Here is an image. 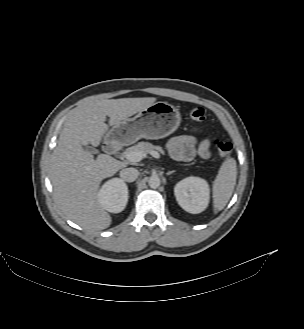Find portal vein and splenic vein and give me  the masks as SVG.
Returning <instances> with one entry per match:
<instances>
[{"mask_svg":"<svg viewBox=\"0 0 304 329\" xmlns=\"http://www.w3.org/2000/svg\"><path fill=\"white\" fill-rule=\"evenodd\" d=\"M154 158H159L160 155L157 151H150V153ZM146 155L142 151H129L124 152L123 157L130 161V162H139L141 161Z\"/></svg>","mask_w":304,"mask_h":329,"instance_id":"1","label":"portal vein and splenic vein"}]
</instances>
